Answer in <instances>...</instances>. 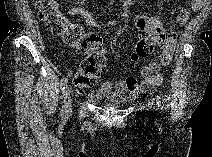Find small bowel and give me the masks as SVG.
<instances>
[{"instance_id": "obj_1", "label": "small bowel", "mask_w": 212, "mask_h": 157, "mask_svg": "<svg viewBox=\"0 0 212 157\" xmlns=\"http://www.w3.org/2000/svg\"><path fill=\"white\" fill-rule=\"evenodd\" d=\"M124 8H130L132 2L124 0L122 2ZM192 8L198 9L201 6L200 0H193ZM68 14L72 17H81L87 23V25L93 29H108L117 24L115 20H108L104 22L97 21L93 15L84 7L73 6L68 9ZM191 12L189 8H182L176 15V22L180 26L187 24L190 18ZM134 25L144 32L162 33L165 35V41L162 44V52L160 59L157 62H152L145 65L141 72V81L135 76H128L125 79L120 80H107L101 87L95 92L88 95V100L91 103H97L100 99L111 95H125L130 94L132 97L146 92L147 90L157 87L162 82V75L160 74V68L170 63L177 38V33L174 31L166 32L162 23L154 17H151L144 13H136L133 18Z\"/></svg>"}]
</instances>
